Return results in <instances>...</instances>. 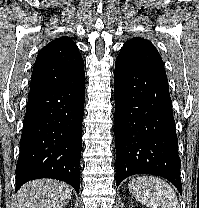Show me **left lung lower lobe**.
Here are the masks:
<instances>
[{
  "instance_id": "left-lung-lower-lobe-1",
  "label": "left lung lower lobe",
  "mask_w": 199,
  "mask_h": 208,
  "mask_svg": "<svg viewBox=\"0 0 199 208\" xmlns=\"http://www.w3.org/2000/svg\"><path fill=\"white\" fill-rule=\"evenodd\" d=\"M117 186L134 174L171 181L182 194L168 81L117 57L114 71Z\"/></svg>"
}]
</instances>
